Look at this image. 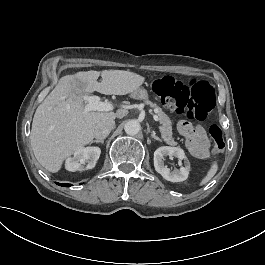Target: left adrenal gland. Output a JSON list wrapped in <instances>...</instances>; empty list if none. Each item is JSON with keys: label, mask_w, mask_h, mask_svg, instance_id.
Masks as SVG:
<instances>
[{"label": "left adrenal gland", "mask_w": 265, "mask_h": 265, "mask_svg": "<svg viewBox=\"0 0 265 265\" xmlns=\"http://www.w3.org/2000/svg\"><path fill=\"white\" fill-rule=\"evenodd\" d=\"M151 137L153 139L159 141V142H162V140L159 137L156 136V133L154 132V130H152V132H151Z\"/></svg>", "instance_id": "left-adrenal-gland-1"}]
</instances>
